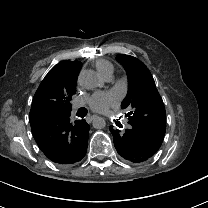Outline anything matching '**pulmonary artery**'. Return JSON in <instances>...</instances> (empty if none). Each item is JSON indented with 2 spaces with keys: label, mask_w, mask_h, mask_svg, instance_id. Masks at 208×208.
Returning <instances> with one entry per match:
<instances>
[{
  "label": "pulmonary artery",
  "mask_w": 208,
  "mask_h": 208,
  "mask_svg": "<svg viewBox=\"0 0 208 208\" xmlns=\"http://www.w3.org/2000/svg\"><path fill=\"white\" fill-rule=\"evenodd\" d=\"M110 78H111V76H108V77H106L105 79H106V80H109Z\"/></svg>",
  "instance_id": "e3ab8cb5"
}]
</instances>
